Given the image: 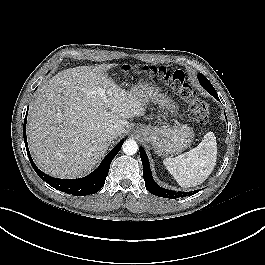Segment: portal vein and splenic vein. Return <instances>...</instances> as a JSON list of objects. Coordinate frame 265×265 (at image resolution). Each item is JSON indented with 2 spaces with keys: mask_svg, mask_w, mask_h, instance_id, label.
I'll return each instance as SVG.
<instances>
[{
  "mask_svg": "<svg viewBox=\"0 0 265 265\" xmlns=\"http://www.w3.org/2000/svg\"><path fill=\"white\" fill-rule=\"evenodd\" d=\"M99 92H100L101 97H102V98L104 99V101H105V100H106V95H105L104 91H103L102 89H100Z\"/></svg>",
  "mask_w": 265,
  "mask_h": 265,
  "instance_id": "1",
  "label": "portal vein and splenic vein"
}]
</instances>
